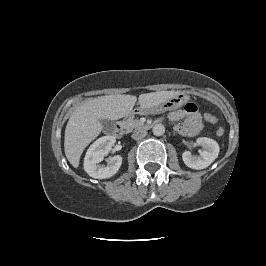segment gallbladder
Here are the masks:
<instances>
[{"label": "gallbladder", "instance_id": "1", "mask_svg": "<svg viewBox=\"0 0 266 266\" xmlns=\"http://www.w3.org/2000/svg\"><path fill=\"white\" fill-rule=\"evenodd\" d=\"M102 127L105 131H111L114 128V122L109 119H101L100 120Z\"/></svg>", "mask_w": 266, "mask_h": 266}]
</instances>
